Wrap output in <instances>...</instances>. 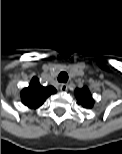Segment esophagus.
<instances>
[{
  "label": "esophagus",
  "instance_id": "esophagus-1",
  "mask_svg": "<svg viewBox=\"0 0 122 154\" xmlns=\"http://www.w3.org/2000/svg\"><path fill=\"white\" fill-rule=\"evenodd\" d=\"M60 90H61L62 92H66V91L68 90V85H67V84H61Z\"/></svg>",
  "mask_w": 122,
  "mask_h": 154
}]
</instances>
